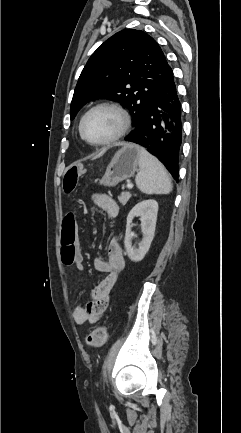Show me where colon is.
I'll use <instances>...</instances> for the list:
<instances>
[{
    "label": "colon",
    "mask_w": 241,
    "mask_h": 433,
    "mask_svg": "<svg viewBox=\"0 0 241 433\" xmlns=\"http://www.w3.org/2000/svg\"><path fill=\"white\" fill-rule=\"evenodd\" d=\"M80 161H71L64 172L63 179L60 182V194L72 195L74 190L78 189L79 178L87 176V169L81 168ZM79 215L78 212H62L60 225L64 226L61 236L60 245L61 259L65 265H73L76 259V252L80 251L79 244L80 231L77 228ZM108 336V327L106 324L98 326L86 338V343L90 348L100 347Z\"/></svg>",
    "instance_id": "1"
}]
</instances>
